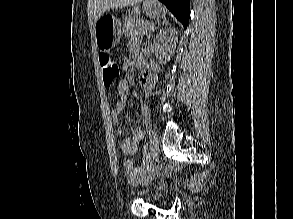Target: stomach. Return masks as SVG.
Listing matches in <instances>:
<instances>
[{"label":"stomach","mask_w":293,"mask_h":219,"mask_svg":"<svg viewBox=\"0 0 293 219\" xmlns=\"http://www.w3.org/2000/svg\"><path fill=\"white\" fill-rule=\"evenodd\" d=\"M144 13L152 19L165 16L162 5L157 0H142V6L135 5L133 15ZM96 46L101 51H110L119 42L121 37V22L113 15L100 17L94 26Z\"/></svg>","instance_id":"1"}]
</instances>
